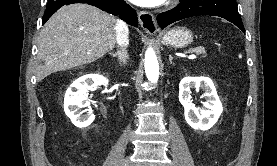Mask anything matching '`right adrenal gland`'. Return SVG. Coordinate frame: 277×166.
Returning a JSON list of instances; mask_svg holds the SVG:
<instances>
[{"mask_svg":"<svg viewBox=\"0 0 277 166\" xmlns=\"http://www.w3.org/2000/svg\"><path fill=\"white\" fill-rule=\"evenodd\" d=\"M110 54L113 56V57H117L118 58V61H119V64H125L126 63V54L124 52H122L121 50H118L116 53H111Z\"/></svg>","mask_w":277,"mask_h":166,"instance_id":"obj_1","label":"right adrenal gland"}]
</instances>
